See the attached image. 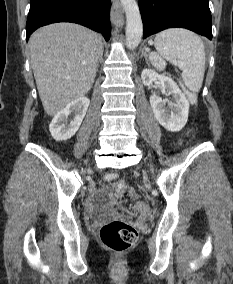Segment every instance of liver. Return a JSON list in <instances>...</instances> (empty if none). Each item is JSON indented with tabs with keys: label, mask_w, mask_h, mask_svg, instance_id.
<instances>
[{
	"label": "liver",
	"mask_w": 233,
	"mask_h": 284,
	"mask_svg": "<svg viewBox=\"0 0 233 284\" xmlns=\"http://www.w3.org/2000/svg\"><path fill=\"white\" fill-rule=\"evenodd\" d=\"M29 46L37 89L49 116L91 89L103 49L99 34L81 25L55 23L38 29Z\"/></svg>",
	"instance_id": "6515ba94"
}]
</instances>
